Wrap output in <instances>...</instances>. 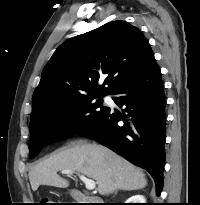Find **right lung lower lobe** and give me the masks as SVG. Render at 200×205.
Instances as JSON below:
<instances>
[{"label":"right lung lower lobe","instance_id":"right-lung-lower-lobe-1","mask_svg":"<svg viewBox=\"0 0 200 205\" xmlns=\"http://www.w3.org/2000/svg\"><path fill=\"white\" fill-rule=\"evenodd\" d=\"M160 68L154 60L114 93L123 112L110 108L78 135L91 138L144 168L154 178L157 196L163 187L166 98ZM119 122H123L119 123Z\"/></svg>","mask_w":200,"mask_h":205}]
</instances>
